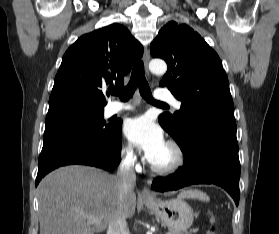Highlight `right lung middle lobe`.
Wrapping results in <instances>:
<instances>
[{"mask_svg": "<svg viewBox=\"0 0 279 234\" xmlns=\"http://www.w3.org/2000/svg\"><path fill=\"white\" fill-rule=\"evenodd\" d=\"M104 110L99 108L68 105L48 111L44 136L69 130H81L102 138L114 129V124H106Z\"/></svg>", "mask_w": 279, "mask_h": 234, "instance_id": "dd1d6c3e", "label": "right lung middle lobe"}]
</instances>
